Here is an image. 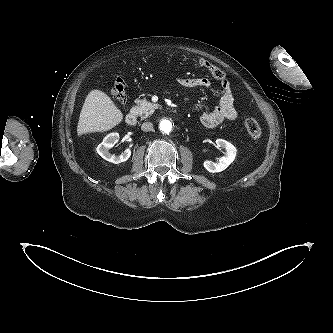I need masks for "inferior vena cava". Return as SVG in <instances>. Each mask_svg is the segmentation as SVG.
Here are the masks:
<instances>
[{
  "instance_id": "1",
  "label": "inferior vena cava",
  "mask_w": 333,
  "mask_h": 333,
  "mask_svg": "<svg viewBox=\"0 0 333 333\" xmlns=\"http://www.w3.org/2000/svg\"><path fill=\"white\" fill-rule=\"evenodd\" d=\"M141 129L145 132L151 131L153 129V124L151 122H144Z\"/></svg>"
}]
</instances>
